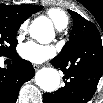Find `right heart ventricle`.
<instances>
[{
  "label": "right heart ventricle",
  "instance_id": "e07e8e85",
  "mask_svg": "<svg viewBox=\"0 0 103 103\" xmlns=\"http://www.w3.org/2000/svg\"><path fill=\"white\" fill-rule=\"evenodd\" d=\"M47 15L58 29H64L68 24V17L61 9L52 8L47 11Z\"/></svg>",
  "mask_w": 103,
  "mask_h": 103
}]
</instances>
